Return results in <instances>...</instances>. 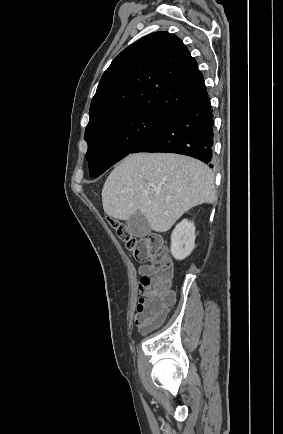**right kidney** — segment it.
Here are the masks:
<instances>
[{"label":"right kidney","instance_id":"1","mask_svg":"<svg viewBox=\"0 0 283 434\" xmlns=\"http://www.w3.org/2000/svg\"><path fill=\"white\" fill-rule=\"evenodd\" d=\"M195 226L193 222L182 220L174 228L171 235V253L177 260H183L193 251L195 246Z\"/></svg>","mask_w":283,"mask_h":434}]
</instances>
